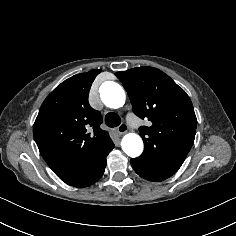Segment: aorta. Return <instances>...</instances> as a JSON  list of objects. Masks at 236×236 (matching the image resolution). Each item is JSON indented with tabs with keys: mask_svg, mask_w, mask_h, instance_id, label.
<instances>
[{
	"mask_svg": "<svg viewBox=\"0 0 236 236\" xmlns=\"http://www.w3.org/2000/svg\"><path fill=\"white\" fill-rule=\"evenodd\" d=\"M102 102L109 108L117 109L124 105L126 95L123 88L113 81H106L100 88ZM122 150L130 157L135 158L143 152V141L135 133L126 134L121 142Z\"/></svg>",
	"mask_w": 236,
	"mask_h": 236,
	"instance_id": "1",
	"label": "aorta"
}]
</instances>
